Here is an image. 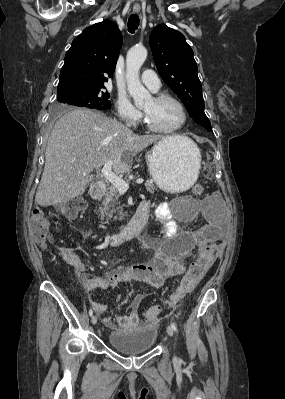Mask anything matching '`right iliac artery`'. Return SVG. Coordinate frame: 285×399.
<instances>
[{
  "label": "right iliac artery",
  "instance_id": "82829eb1",
  "mask_svg": "<svg viewBox=\"0 0 285 399\" xmlns=\"http://www.w3.org/2000/svg\"><path fill=\"white\" fill-rule=\"evenodd\" d=\"M89 315L92 317V315H93V310L92 309L89 310Z\"/></svg>",
  "mask_w": 285,
  "mask_h": 399
}]
</instances>
